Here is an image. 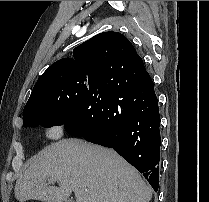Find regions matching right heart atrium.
<instances>
[{
    "label": "right heart atrium",
    "mask_w": 209,
    "mask_h": 202,
    "mask_svg": "<svg viewBox=\"0 0 209 202\" xmlns=\"http://www.w3.org/2000/svg\"><path fill=\"white\" fill-rule=\"evenodd\" d=\"M40 134L46 140H58L63 137V127L60 123H48L42 126Z\"/></svg>",
    "instance_id": "right-heart-atrium-1"
}]
</instances>
